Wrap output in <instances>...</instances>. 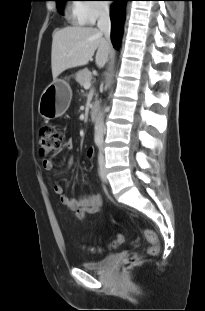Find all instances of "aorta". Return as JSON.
<instances>
[{
    "instance_id": "762f6f07",
    "label": "aorta",
    "mask_w": 205,
    "mask_h": 311,
    "mask_svg": "<svg viewBox=\"0 0 205 311\" xmlns=\"http://www.w3.org/2000/svg\"><path fill=\"white\" fill-rule=\"evenodd\" d=\"M104 113L103 111L99 114L96 124H95V141L102 142L103 141V133H104Z\"/></svg>"
}]
</instances>
